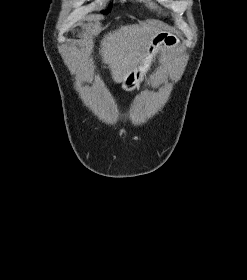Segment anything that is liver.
Instances as JSON below:
<instances>
[{
    "instance_id": "liver-1",
    "label": "liver",
    "mask_w": 247,
    "mask_h": 280,
    "mask_svg": "<svg viewBox=\"0 0 247 280\" xmlns=\"http://www.w3.org/2000/svg\"><path fill=\"white\" fill-rule=\"evenodd\" d=\"M159 32L147 24H133L108 33L101 41L100 54L114 82L121 83L143 60L151 36Z\"/></svg>"
}]
</instances>
